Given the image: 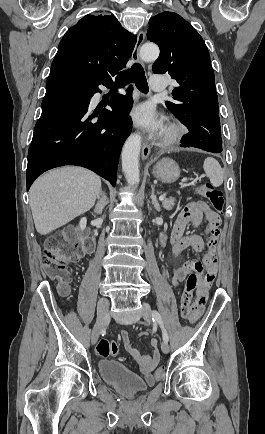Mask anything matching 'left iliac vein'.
Masks as SVG:
<instances>
[{
  "mask_svg": "<svg viewBox=\"0 0 265 434\" xmlns=\"http://www.w3.org/2000/svg\"><path fill=\"white\" fill-rule=\"evenodd\" d=\"M142 317L144 318V320L147 323L151 322V308L150 305L148 303H142ZM161 350L164 353H168L169 352V345L167 342L163 341L161 343Z\"/></svg>",
  "mask_w": 265,
  "mask_h": 434,
  "instance_id": "obj_1",
  "label": "left iliac vein"
}]
</instances>
